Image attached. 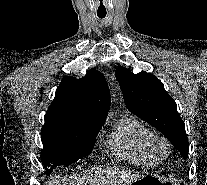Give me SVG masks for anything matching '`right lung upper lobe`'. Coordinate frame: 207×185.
Here are the masks:
<instances>
[{
    "instance_id": "cb5924a9",
    "label": "right lung upper lobe",
    "mask_w": 207,
    "mask_h": 185,
    "mask_svg": "<svg viewBox=\"0 0 207 185\" xmlns=\"http://www.w3.org/2000/svg\"><path fill=\"white\" fill-rule=\"evenodd\" d=\"M110 92L105 77L91 69L84 78L65 77L45 114V121L70 122L86 127H102L109 107Z\"/></svg>"
}]
</instances>
